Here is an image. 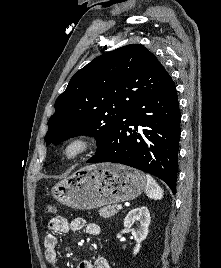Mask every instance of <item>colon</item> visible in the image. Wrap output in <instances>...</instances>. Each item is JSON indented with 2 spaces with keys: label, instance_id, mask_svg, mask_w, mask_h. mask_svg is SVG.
Listing matches in <instances>:
<instances>
[{
  "label": "colon",
  "instance_id": "5ec220e1",
  "mask_svg": "<svg viewBox=\"0 0 221 268\" xmlns=\"http://www.w3.org/2000/svg\"><path fill=\"white\" fill-rule=\"evenodd\" d=\"M57 212V208H56V206H54V205H48L47 207H46V213L48 214V215H53V214H55Z\"/></svg>",
  "mask_w": 221,
  "mask_h": 268
}]
</instances>
